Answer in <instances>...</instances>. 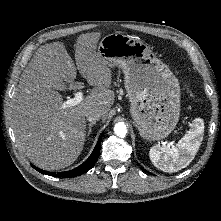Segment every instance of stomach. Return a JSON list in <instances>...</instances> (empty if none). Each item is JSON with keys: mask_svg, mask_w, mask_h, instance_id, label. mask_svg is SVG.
Instances as JSON below:
<instances>
[{"mask_svg": "<svg viewBox=\"0 0 221 221\" xmlns=\"http://www.w3.org/2000/svg\"><path fill=\"white\" fill-rule=\"evenodd\" d=\"M97 52L109 68L122 69L140 135L147 140L167 137L180 115V86L169 67L142 41L122 33L104 36Z\"/></svg>", "mask_w": 221, "mask_h": 221, "instance_id": "0dacf381", "label": "stomach"}]
</instances>
